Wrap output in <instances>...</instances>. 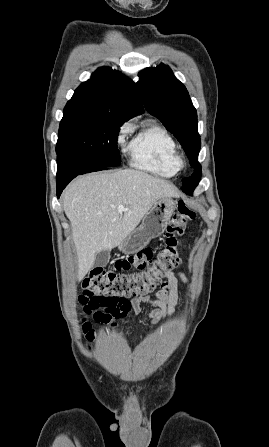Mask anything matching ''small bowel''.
<instances>
[{"mask_svg":"<svg viewBox=\"0 0 269 447\" xmlns=\"http://www.w3.org/2000/svg\"><path fill=\"white\" fill-rule=\"evenodd\" d=\"M179 280L186 282L185 275L181 272L175 273L170 271L166 275L162 288L157 291L155 298L149 296H139L130 301L131 309L137 314H143L141 305L143 303L150 304L153 309L146 313L154 323L163 318L171 316L178 303V282Z\"/></svg>","mask_w":269,"mask_h":447,"instance_id":"small-bowel-1","label":"small bowel"}]
</instances>
